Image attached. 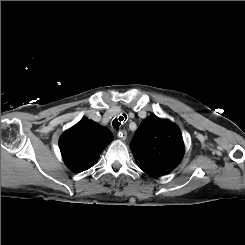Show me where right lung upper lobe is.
<instances>
[{"label":"right lung upper lobe","mask_w":245,"mask_h":245,"mask_svg":"<svg viewBox=\"0 0 245 245\" xmlns=\"http://www.w3.org/2000/svg\"><path fill=\"white\" fill-rule=\"evenodd\" d=\"M112 139L109 129L84 118L61 135L59 148L66 165L75 172H82L97 162Z\"/></svg>","instance_id":"cb5924a9"}]
</instances>
